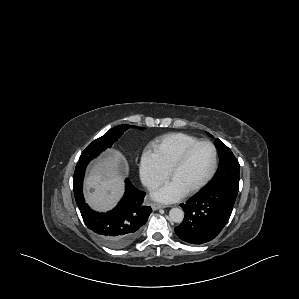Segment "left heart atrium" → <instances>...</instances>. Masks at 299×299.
Returning a JSON list of instances; mask_svg holds the SVG:
<instances>
[{
  "instance_id": "39dd6f15",
  "label": "left heart atrium",
  "mask_w": 299,
  "mask_h": 299,
  "mask_svg": "<svg viewBox=\"0 0 299 299\" xmlns=\"http://www.w3.org/2000/svg\"><path fill=\"white\" fill-rule=\"evenodd\" d=\"M184 194L185 191L172 181L154 190L152 196L159 201L171 203L183 197Z\"/></svg>"
}]
</instances>
